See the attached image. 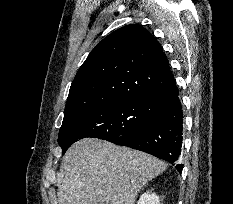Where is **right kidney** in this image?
I'll use <instances>...</instances> for the list:
<instances>
[{
	"label": "right kidney",
	"instance_id": "1",
	"mask_svg": "<svg viewBox=\"0 0 233 204\" xmlns=\"http://www.w3.org/2000/svg\"><path fill=\"white\" fill-rule=\"evenodd\" d=\"M137 204H160L159 197L155 193H149L147 191L140 196Z\"/></svg>",
	"mask_w": 233,
	"mask_h": 204
}]
</instances>
